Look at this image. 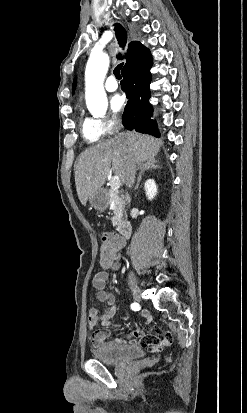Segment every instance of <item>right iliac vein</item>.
Instances as JSON below:
<instances>
[{
	"label": "right iliac vein",
	"instance_id": "63e3f726",
	"mask_svg": "<svg viewBox=\"0 0 247 413\" xmlns=\"http://www.w3.org/2000/svg\"><path fill=\"white\" fill-rule=\"evenodd\" d=\"M131 292H132L134 300L139 302L141 300V290L137 284L131 287Z\"/></svg>",
	"mask_w": 247,
	"mask_h": 413
}]
</instances>
